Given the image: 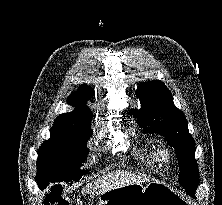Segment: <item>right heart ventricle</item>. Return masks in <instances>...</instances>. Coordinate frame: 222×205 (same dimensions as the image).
Returning a JSON list of instances; mask_svg holds the SVG:
<instances>
[{"label": "right heart ventricle", "instance_id": "1", "mask_svg": "<svg viewBox=\"0 0 222 205\" xmlns=\"http://www.w3.org/2000/svg\"><path fill=\"white\" fill-rule=\"evenodd\" d=\"M137 154L148 166L154 169H157L161 163L159 151L153 144L139 147Z\"/></svg>", "mask_w": 222, "mask_h": 205}]
</instances>
